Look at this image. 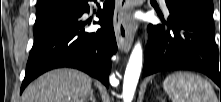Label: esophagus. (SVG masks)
<instances>
[{
  "label": "esophagus",
  "mask_w": 221,
  "mask_h": 102,
  "mask_svg": "<svg viewBox=\"0 0 221 102\" xmlns=\"http://www.w3.org/2000/svg\"><path fill=\"white\" fill-rule=\"evenodd\" d=\"M134 2L131 0H117L114 12V30L118 48L123 52H128L132 46L136 27L129 12L132 10Z\"/></svg>",
  "instance_id": "esophagus-1"
}]
</instances>
